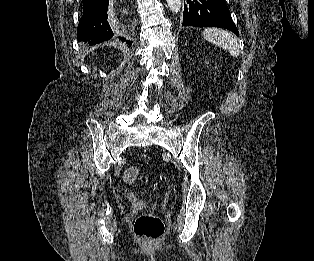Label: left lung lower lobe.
Masks as SVG:
<instances>
[{"instance_id": "1", "label": "left lung lower lobe", "mask_w": 314, "mask_h": 261, "mask_svg": "<svg viewBox=\"0 0 314 261\" xmlns=\"http://www.w3.org/2000/svg\"><path fill=\"white\" fill-rule=\"evenodd\" d=\"M182 26L221 27L239 36L224 0H187Z\"/></svg>"}]
</instances>
